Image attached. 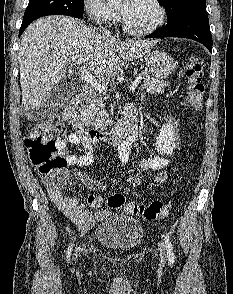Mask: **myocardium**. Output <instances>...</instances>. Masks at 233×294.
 <instances>
[{
    "instance_id": "myocardium-1",
    "label": "myocardium",
    "mask_w": 233,
    "mask_h": 294,
    "mask_svg": "<svg viewBox=\"0 0 233 294\" xmlns=\"http://www.w3.org/2000/svg\"><path fill=\"white\" fill-rule=\"evenodd\" d=\"M157 9L158 11V18L156 22L151 25L150 27L144 28V29H136L131 27L127 21L125 20L123 14H121L120 19H121V24L123 29L134 36H146L154 33L157 31L160 27H162L166 21V16L167 12L163 4L159 0H149Z\"/></svg>"
}]
</instances>
